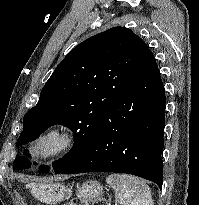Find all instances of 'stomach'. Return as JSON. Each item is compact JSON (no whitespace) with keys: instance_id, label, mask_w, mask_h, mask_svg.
<instances>
[{"instance_id":"1","label":"stomach","mask_w":199,"mask_h":205,"mask_svg":"<svg viewBox=\"0 0 199 205\" xmlns=\"http://www.w3.org/2000/svg\"><path fill=\"white\" fill-rule=\"evenodd\" d=\"M73 187L63 183H33L30 185L32 195L46 204H56L69 199ZM103 185L95 179H89L77 186L76 195L82 201L97 200L103 195Z\"/></svg>"}]
</instances>
